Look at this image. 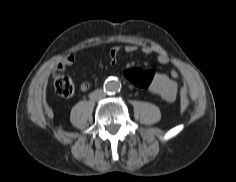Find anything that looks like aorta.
Here are the masks:
<instances>
[{"label":"aorta","mask_w":236,"mask_h":182,"mask_svg":"<svg viewBox=\"0 0 236 182\" xmlns=\"http://www.w3.org/2000/svg\"><path fill=\"white\" fill-rule=\"evenodd\" d=\"M106 91L116 93L120 90L121 85L118 80L112 79L105 82L104 85Z\"/></svg>","instance_id":"aorta-1"}]
</instances>
